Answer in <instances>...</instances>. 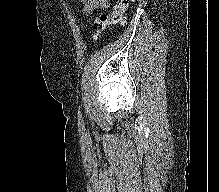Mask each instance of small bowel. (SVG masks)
<instances>
[{
  "label": "small bowel",
  "instance_id": "small-bowel-1",
  "mask_svg": "<svg viewBox=\"0 0 219 192\" xmlns=\"http://www.w3.org/2000/svg\"><path fill=\"white\" fill-rule=\"evenodd\" d=\"M83 3L82 11L89 15L95 11H102L109 7L108 0H77Z\"/></svg>",
  "mask_w": 219,
  "mask_h": 192
}]
</instances>
